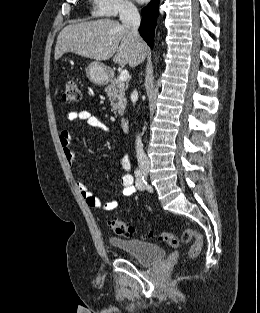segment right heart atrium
Listing matches in <instances>:
<instances>
[{"label": "right heart atrium", "instance_id": "obj_1", "mask_svg": "<svg viewBox=\"0 0 260 313\" xmlns=\"http://www.w3.org/2000/svg\"><path fill=\"white\" fill-rule=\"evenodd\" d=\"M92 8L96 16L102 17L131 15L137 11L132 0H92Z\"/></svg>", "mask_w": 260, "mask_h": 313}]
</instances>
